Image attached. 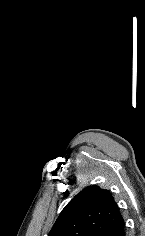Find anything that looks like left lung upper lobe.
<instances>
[{
	"label": "left lung upper lobe",
	"mask_w": 145,
	"mask_h": 236,
	"mask_svg": "<svg viewBox=\"0 0 145 236\" xmlns=\"http://www.w3.org/2000/svg\"><path fill=\"white\" fill-rule=\"evenodd\" d=\"M125 222L108 190L92 185L62 210L48 236H125Z\"/></svg>",
	"instance_id": "left-lung-upper-lobe-1"
}]
</instances>
